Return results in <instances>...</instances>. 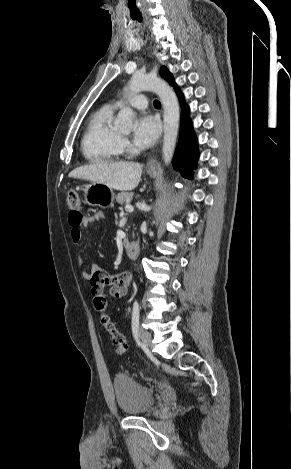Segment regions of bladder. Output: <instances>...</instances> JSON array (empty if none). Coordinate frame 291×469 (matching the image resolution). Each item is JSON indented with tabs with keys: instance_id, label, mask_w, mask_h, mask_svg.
Segmentation results:
<instances>
[{
	"instance_id": "obj_1",
	"label": "bladder",
	"mask_w": 291,
	"mask_h": 469,
	"mask_svg": "<svg viewBox=\"0 0 291 469\" xmlns=\"http://www.w3.org/2000/svg\"><path fill=\"white\" fill-rule=\"evenodd\" d=\"M113 389L119 410L128 416L148 412L155 402L154 393L126 374L114 376Z\"/></svg>"
}]
</instances>
